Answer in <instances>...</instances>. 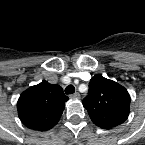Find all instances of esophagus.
<instances>
[{"label":"esophagus","mask_w":145,"mask_h":145,"mask_svg":"<svg viewBox=\"0 0 145 145\" xmlns=\"http://www.w3.org/2000/svg\"><path fill=\"white\" fill-rule=\"evenodd\" d=\"M71 99H79L80 98V94L79 93H74L72 95H70Z\"/></svg>","instance_id":"esophagus-1"}]
</instances>
